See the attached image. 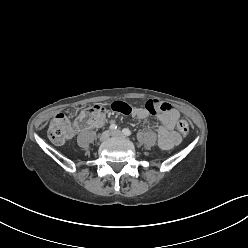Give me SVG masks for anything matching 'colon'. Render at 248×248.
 I'll return each mask as SVG.
<instances>
[{"instance_id":"obj_1","label":"colon","mask_w":248,"mask_h":248,"mask_svg":"<svg viewBox=\"0 0 248 248\" xmlns=\"http://www.w3.org/2000/svg\"><path fill=\"white\" fill-rule=\"evenodd\" d=\"M145 108L151 114L165 113L170 111L169 104L155 100H148ZM111 109L123 115H128L132 112V107L123 101H115L111 104ZM104 115V108L101 105H88L82 110L81 117L87 121L88 124L97 125L102 122ZM178 130L187 135L189 132V124L186 120L180 119L177 123ZM82 129V124L79 121L70 122L65 114H58L50 123L48 129V136L51 141L56 144H62L68 139L72 133L79 132Z\"/></svg>"}]
</instances>
